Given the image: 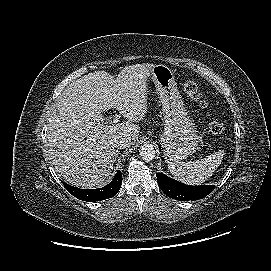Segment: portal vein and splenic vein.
Returning <instances> with one entry per match:
<instances>
[{
    "label": "portal vein and splenic vein",
    "instance_id": "portal-vein-and-splenic-vein-1",
    "mask_svg": "<svg viewBox=\"0 0 271 271\" xmlns=\"http://www.w3.org/2000/svg\"><path fill=\"white\" fill-rule=\"evenodd\" d=\"M112 121H113V123H118L119 122V117L118 116L114 117Z\"/></svg>",
    "mask_w": 271,
    "mask_h": 271
}]
</instances>
